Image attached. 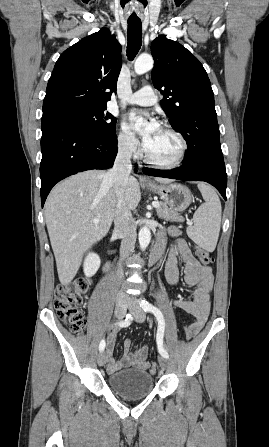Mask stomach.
I'll use <instances>...</instances> for the list:
<instances>
[{
    "label": "stomach",
    "mask_w": 269,
    "mask_h": 447,
    "mask_svg": "<svg viewBox=\"0 0 269 447\" xmlns=\"http://www.w3.org/2000/svg\"><path fill=\"white\" fill-rule=\"evenodd\" d=\"M149 190H152L154 194H158L162 198L163 202L170 206L175 212H183L192 202V194L185 186L180 184H169V186H158V184H152L149 186Z\"/></svg>",
    "instance_id": "obj_1"
}]
</instances>
